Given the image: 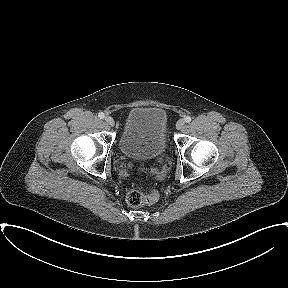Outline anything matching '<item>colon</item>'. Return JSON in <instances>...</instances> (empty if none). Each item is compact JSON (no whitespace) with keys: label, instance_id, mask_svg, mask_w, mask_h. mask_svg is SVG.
<instances>
[{"label":"colon","instance_id":"colon-1","mask_svg":"<svg viewBox=\"0 0 288 288\" xmlns=\"http://www.w3.org/2000/svg\"><path fill=\"white\" fill-rule=\"evenodd\" d=\"M157 197V192L154 190H149L146 192L132 190L127 194L126 201L128 205L132 207H139L156 201Z\"/></svg>","mask_w":288,"mask_h":288}]
</instances>
